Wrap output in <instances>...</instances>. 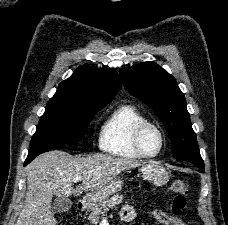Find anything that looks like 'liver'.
Here are the masks:
<instances>
[{
	"instance_id": "6515ba94",
	"label": "liver",
	"mask_w": 228,
	"mask_h": 225,
	"mask_svg": "<svg viewBox=\"0 0 228 225\" xmlns=\"http://www.w3.org/2000/svg\"><path fill=\"white\" fill-rule=\"evenodd\" d=\"M136 167L140 163L111 155H84L75 159L63 151L43 153L26 167L27 193L16 225H55L53 195L80 197L86 191L95 193L122 171ZM75 177H82V185L73 189Z\"/></svg>"
}]
</instances>
